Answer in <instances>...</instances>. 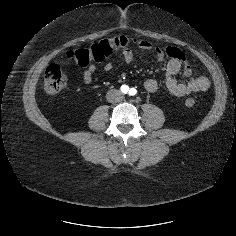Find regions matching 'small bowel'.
Listing matches in <instances>:
<instances>
[{"mask_svg": "<svg viewBox=\"0 0 236 236\" xmlns=\"http://www.w3.org/2000/svg\"><path fill=\"white\" fill-rule=\"evenodd\" d=\"M140 50H152L158 60L169 58L165 69V86L168 91L175 96H186L190 94L201 95L210 87V81L207 77L200 74H193L191 66L187 63L185 55L180 49L173 46L159 48L146 40H141L137 43ZM122 56L127 64H133L135 56L133 51L126 47L122 50ZM114 65L111 60H106L103 64L105 71H111ZM187 79L185 82H178L175 75L178 73ZM98 79L97 68L95 65L89 64L83 70V82L85 85H90ZM144 88L148 92H155L158 88V83L155 79L149 78L144 81Z\"/></svg>", "mask_w": 236, "mask_h": 236, "instance_id": "c3829d8e", "label": "small bowel"}]
</instances>
